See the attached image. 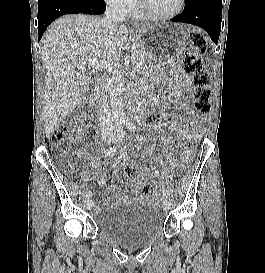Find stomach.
I'll list each match as a JSON object with an SVG mask.
<instances>
[{"label": "stomach", "mask_w": 265, "mask_h": 273, "mask_svg": "<svg viewBox=\"0 0 265 273\" xmlns=\"http://www.w3.org/2000/svg\"><path fill=\"white\" fill-rule=\"evenodd\" d=\"M186 30H193V25H154L134 31L137 44H130V49L145 50L137 55L139 64H174L175 51L165 49H177Z\"/></svg>", "instance_id": "obj_1"}]
</instances>
